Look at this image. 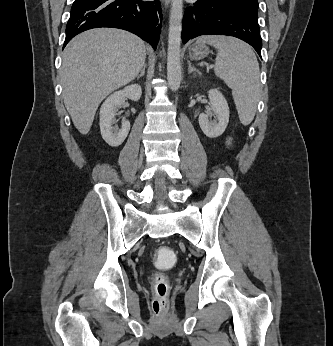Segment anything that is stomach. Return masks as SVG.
Listing matches in <instances>:
<instances>
[{
  "mask_svg": "<svg viewBox=\"0 0 333 346\" xmlns=\"http://www.w3.org/2000/svg\"><path fill=\"white\" fill-rule=\"evenodd\" d=\"M188 52L191 59L200 60L209 55L210 49L204 43H195L189 47Z\"/></svg>",
  "mask_w": 333,
  "mask_h": 346,
  "instance_id": "0dacf381",
  "label": "stomach"
}]
</instances>
